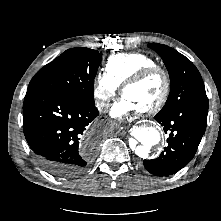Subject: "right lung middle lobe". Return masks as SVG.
I'll list each match as a JSON object with an SVG mask.
<instances>
[{
    "mask_svg": "<svg viewBox=\"0 0 221 221\" xmlns=\"http://www.w3.org/2000/svg\"><path fill=\"white\" fill-rule=\"evenodd\" d=\"M101 60L97 50L84 47L68 49L36 73L28 90L44 88L95 105L94 78Z\"/></svg>",
    "mask_w": 221,
    "mask_h": 221,
    "instance_id": "right-lung-middle-lobe-1",
    "label": "right lung middle lobe"
}]
</instances>
